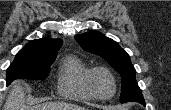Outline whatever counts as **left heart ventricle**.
Instances as JSON below:
<instances>
[{"instance_id":"obj_1","label":"left heart ventricle","mask_w":171,"mask_h":110,"mask_svg":"<svg viewBox=\"0 0 171 110\" xmlns=\"http://www.w3.org/2000/svg\"><path fill=\"white\" fill-rule=\"evenodd\" d=\"M94 87L97 93L101 96H109L113 92V84L110 78L103 74L99 73L94 78Z\"/></svg>"}]
</instances>
